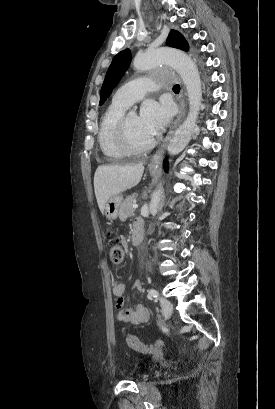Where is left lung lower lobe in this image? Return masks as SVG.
Here are the masks:
<instances>
[{
  "instance_id": "obj_1",
  "label": "left lung lower lobe",
  "mask_w": 275,
  "mask_h": 409,
  "mask_svg": "<svg viewBox=\"0 0 275 409\" xmlns=\"http://www.w3.org/2000/svg\"><path fill=\"white\" fill-rule=\"evenodd\" d=\"M163 167H164V170L167 172L168 171V161H167V159L164 160Z\"/></svg>"
}]
</instances>
